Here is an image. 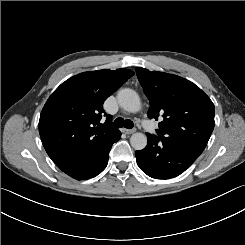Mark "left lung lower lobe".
Returning a JSON list of instances; mask_svg holds the SVG:
<instances>
[{"mask_svg": "<svg viewBox=\"0 0 245 245\" xmlns=\"http://www.w3.org/2000/svg\"><path fill=\"white\" fill-rule=\"evenodd\" d=\"M147 146L136 151L137 164L148 176L170 179L182 174L199 157L184 147L147 134Z\"/></svg>", "mask_w": 245, "mask_h": 245, "instance_id": "0a47b994", "label": "left lung lower lobe"}]
</instances>
